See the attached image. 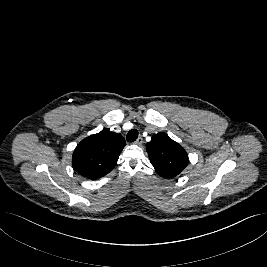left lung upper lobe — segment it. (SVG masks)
Instances as JSON below:
<instances>
[{
	"instance_id": "left-lung-upper-lobe-1",
	"label": "left lung upper lobe",
	"mask_w": 267,
	"mask_h": 267,
	"mask_svg": "<svg viewBox=\"0 0 267 267\" xmlns=\"http://www.w3.org/2000/svg\"><path fill=\"white\" fill-rule=\"evenodd\" d=\"M146 148L151 164L162 177L173 178L188 164L186 151L165 133L155 134Z\"/></svg>"
}]
</instances>
